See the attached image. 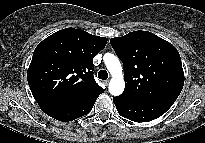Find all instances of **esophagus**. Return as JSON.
<instances>
[{
  "label": "esophagus",
  "mask_w": 205,
  "mask_h": 143,
  "mask_svg": "<svg viewBox=\"0 0 205 143\" xmlns=\"http://www.w3.org/2000/svg\"><path fill=\"white\" fill-rule=\"evenodd\" d=\"M103 83H104L105 86H107L108 83H109V80H105Z\"/></svg>",
  "instance_id": "1"
}]
</instances>
